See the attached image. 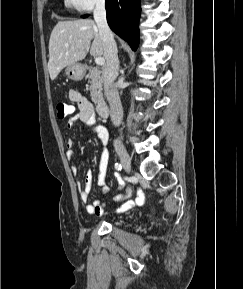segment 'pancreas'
Masks as SVG:
<instances>
[{
	"label": "pancreas",
	"mask_w": 243,
	"mask_h": 289,
	"mask_svg": "<svg viewBox=\"0 0 243 289\" xmlns=\"http://www.w3.org/2000/svg\"><path fill=\"white\" fill-rule=\"evenodd\" d=\"M90 79V95L94 103H98L102 99V78L101 71L92 68L88 75Z\"/></svg>",
	"instance_id": "1"
}]
</instances>
